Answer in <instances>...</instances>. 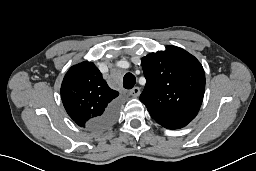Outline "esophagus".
Listing matches in <instances>:
<instances>
[{
	"mask_svg": "<svg viewBox=\"0 0 256 171\" xmlns=\"http://www.w3.org/2000/svg\"><path fill=\"white\" fill-rule=\"evenodd\" d=\"M129 94L136 98L140 95V88L139 87H134L133 89L130 90Z\"/></svg>",
	"mask_w": 256,
	"mask_h": 171,
	"instance_id": "34e87169",
	"label": "esophagus"
}]
</instances>
